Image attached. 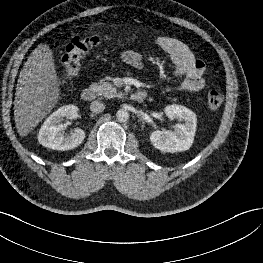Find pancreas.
Instances as JSON below:
<instances>
[{
	"mask_svg": "<svg viewBox=\"0 0 263 263\" xmlns=\"http://www.w3.org/2000/svg\"><path fill=\"white\" fill-rule=\"evenodd\" d=\"M91 89H93L98 96H104L105 98L118 97L121 95L118 89L109 82L101 81L99 83H93Z\"/></svg>",
	"mask_w": 263,
	"mask_h": 263,
	"instance_id": "cf45deb5",
	"label": "pancreas"
}]
</instances>
